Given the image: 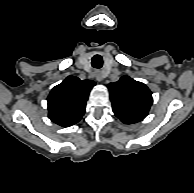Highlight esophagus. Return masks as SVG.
Returning a JSON list of instances; mask_svg holds the SVG:
<instances>
[{
	"mask_svg": "<svg viewBox=\"0 0 194 193\" xmlns=\"http://www.w3.org/2000/svg\"><path fill=\"white\" fill-rule=\"evenodd\" d=\"M94 75H95V78H96V80L98 82H101L103 80V78H104V76H103L101 71H96Z\"/></svg>",
	"mask_w": 194,
	"mask_h": 193,
	"instance_id": "1",
	"label": "esophagus"
}]
</instances>
